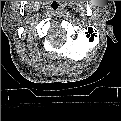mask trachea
Masks as SVG:
<instances>
[{
  "label": "trachea",
  "instance_id": "obj_1",
  "mask_svg": "<svg viewBox=\"0 0 121 121\" xmlns=\"http://www.w3.org/2000/svg\"><path fill=\"white\" fill-rule=\"evenodd\" d=\"M60 8H61V5H60L58 2L53 1V2L51 3V9H52L53 11H58Z\"/></svg>",
  "mask_w": 121,
  "mask_h": 121
}]
</instances>
